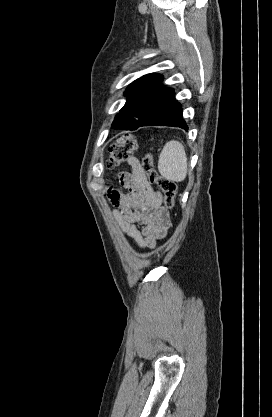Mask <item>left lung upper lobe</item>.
<instances>
[{
    "mask_svg": "<svg viewBox=\"0 0 272 417\" xmlns=\"http://www.w3.org/2000/svg\"><path fill=\"white\" fill-rule=\"evenodd\" d=\"M162 79L159 74H148L131 83L125 92L127 101L116 115L112 128L135 130L140 127L173 91L161 84Z\"/></svg>",
    "mask_w": 272,
    "mask_h": 417,
    "instance_id": "left-lung-upper-lobe-1",
    "label": "left lung upper lobe"
}]
</instances>
